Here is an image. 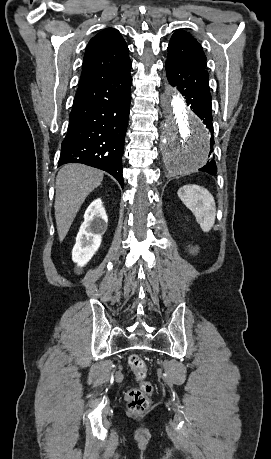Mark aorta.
Returning <instances> with one entry per match:
<instances>
[{
    "instance_id": "obj_1",
    "label": "aorta",
    "mask_w": 271,
    "mask_h": 459,
    "mask_svg": "<svg viewBox=\"0 0 271 459\" xmlns=\"http://www.w3.org/2000/svg\"><path fill=\"white\" fill-rule=\"evenodd\" d=\"M162 103L166 121L161 152L167 172L174 175L194 172L207 162L208 132L197 119L188 115L184 98L179 93L164 95Z\"/></svg>"
}]
</instances>
